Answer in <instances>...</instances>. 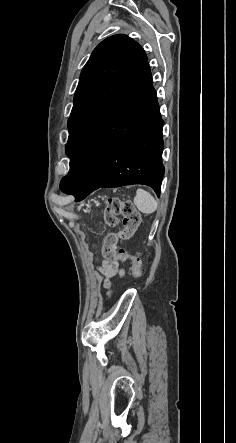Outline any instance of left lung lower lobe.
I'll use <instances>...</instances> for the list:
<instances>
[{
    "instance_id": "left-lung-lower-lobe-1",
    "label": "left lung lower lobe",
    "mask_w": 236,
    "mask_h": 443,
    "mask_svg": "<svg viewBox=\"0 0 236 443\" xmlns=\"http://www.w3.org/2000/svg\"><path fill=\"white\" fill-rule=\"evenodd\" d=\"M162 127L147 62L79 141L60 189L81 201L98 188L145 184L159 196L164 175Z\"/></svg>"
}]
</instances>
